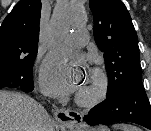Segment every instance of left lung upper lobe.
Returning <instances> with one entry per match:
<instances>
[{
  "label": "left lung upper lobe",
  "instance_id": "obj_1",
  "mask_svg": "<svg viewBox=\"0 0 151 131\" xmlns=\"http://www.w3.org/2000/svg\"><path fill=\"white\" fill-rule=\"evenodd\" d=\"M94 38L104 52L111 96L132 81H142L138 38L130 14L121 0H90Z\"/></svg>",
  "mask_w": 151,
  "mask_h": 131
}]
</instances>
